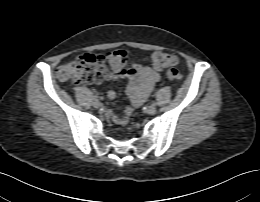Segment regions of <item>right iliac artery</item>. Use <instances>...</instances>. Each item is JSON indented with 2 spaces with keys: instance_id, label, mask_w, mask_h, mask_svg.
Segmentation results:
<instances>
[{
  "instance_id": "82829eb1",
  "label": "right iliac artery",
  "mask_w": 260,
  "mask_h": 202,
  "mask_svg": "<svg viewBox=\"0 0 260 202\" xmlns=\"http://www.w3.org/2000/svg\"><path fill=\"white\" fill-rule=\"evenodd\" d=\"M98 98H99V97H98L97 95L94 96V99H95V100H98Z\"/></svg>"
}]
</instances>
